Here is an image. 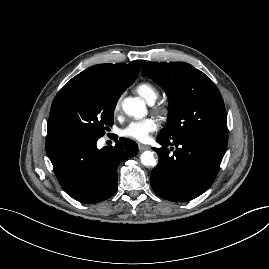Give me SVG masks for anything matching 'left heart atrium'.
Segmentation results:
<instances>
[{
	"mask_svg": "<svg viewBox=\"0 0 269 269\" xmlns=\"http://www.w3.org/2000/svg\"><path fill=\"white\" fill-rule=\"evenodd\" d=\"M159 123L155 118H145L130 122L123 130L122 135L126 138L145 142L149 139L151 133L155 132Z\"/></svg>",
	"mask_w": 269,
	"mask_h": 269,
	"instance_id": "39dd6f15",
	"label": "left heart atrium"
}]
</instances>
